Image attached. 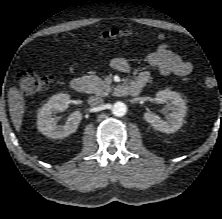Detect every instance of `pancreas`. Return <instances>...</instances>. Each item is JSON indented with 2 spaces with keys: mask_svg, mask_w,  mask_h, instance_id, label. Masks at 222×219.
I'll use <instances>...</instances> for the list:
<instances>
[{
  "mask_svg": "<svg viewBox=\"0 0 222 219\" xmlns=\"http://www.w3.org/2000/svg\"><path fill=\"white\" fill-rule=\"evenodd\" d=\"M87 83V92L94 93L97 95L105 96L111 91V87L100 77L96 75H85L83 76Z\"/></svg>",
  "mask_w": 222,
  "mask_h": 219,
  "instance_id": "cf45deb5",
  "label": "pancreas"
}]
</instances>
